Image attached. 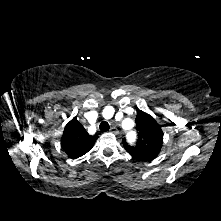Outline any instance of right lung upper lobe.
<instances>
[{
	"instance_id": "right-lung-upper-lobe-1",
	"label": "right lung upper lobe",
	"mask_w": 221,
	"mask_h": 221,
	"mask_svg": "<svg viewBox=\"0 0 221 221\" xmlns=\"http://www.w3.org/2000/svg\"><path fill=\"white\" fill-rule=\"evenodd\" d=\"M97 138V135L90 136L74 117L64 128L61 146L69 158L76 159L91 150Z\"/></svg>"
}]
</instances>
